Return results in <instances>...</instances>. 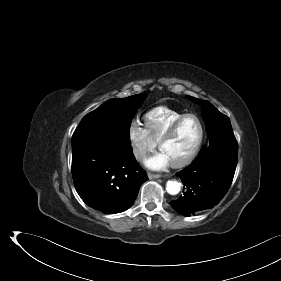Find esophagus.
Listing matches in <instances>:
<instances>
[{"instance_id": "obj_1", "label": "esophagus", "mask_w": 281, "mask_h": 281, "mask_svg": "<svg viewBox=\"0 0 281 281\" xmlns=\"http://www.w3.org/2000/svg\"><path fill=\"white\" fill-rule=\"evenodd\" d=\"M161 177H162L161 174L148 173L149 179H158V178H161Z\"/></svg>"}]
</instances>
